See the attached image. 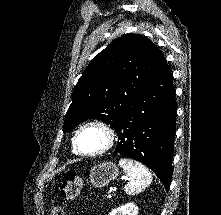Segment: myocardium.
<instances>
[{"label":"myocardium","mask_w":221,"mask_h":215,"mask_svg":"<svg viewBox=\"0 0 221 215\" xmlns=\"http://www.w3.org/2000/svg\"><path fill=\"white\" fill-rule=\"evenodd\" d=\"M89 127H95V128L100 129L104 133V136H105V144L103 145L101 149L95 152H84L80 150L78 146V137L80 133L84 129L89 128ZM115 141H116V132L110 124L102 120H91L82 124L81 126L77 128L73 136L72 144H73V149L77 154L81 156H86V157H96V156H99L108 152L114 146Z\"/></svg>","instance_id":"obj_1"}]
</instances>
